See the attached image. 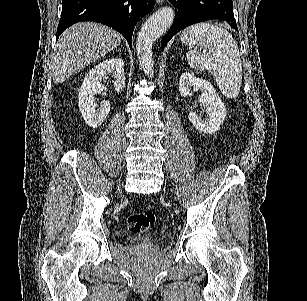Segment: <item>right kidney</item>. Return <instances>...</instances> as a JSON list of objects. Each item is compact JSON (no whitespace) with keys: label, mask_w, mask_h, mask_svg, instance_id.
<instances>
[{"label":"right kidney","mask_w":307,"mask_h":301,"mask_svg":"<svg viewBox=\"0 0 307 301\" xmlns=\"http://www.w3.org/2000/svg\"><path fill=\"white\" fill-rule=\"evenodd\" d=\"M111 72L114 76L113 86L115 88H125V72H124V62L122 58H108V60H102L96 66H93L86 74L81 88L78 94V106L79 110L88 126L92 128H98L107 118L110 110L111 104L109 100H101L100 108L98 110L97 102H95L94 94H99L102 90H105L102 78Z\"/></svg>","instance_id":"ca27d5eb"}]
</instances>
